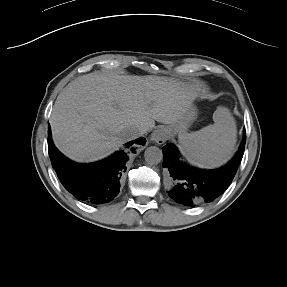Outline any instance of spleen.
<instances>
[{
	"label": "spleen",
	"instance_id": "1",
	"mask_svg": "<svg viewBox=\"0 0 287 287\" xmlns=\"http://www.w3.org/2000/svg\"><path fill=\"white\" fill-rule=\"evenodd\" d=\"M214 124L179 135L182 154L193 165L213 169L231 159L237 141V127L230 111L218 107L213 113Z\"/></svg>",
	"mask_w": 287,
	"mask_h": 287
}]
</instances>
